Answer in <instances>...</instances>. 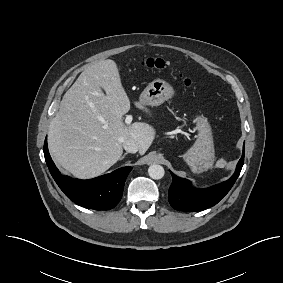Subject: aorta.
Listing matches in <instances>:
<instances>
[{
	"mask_svg": "<svg viewBox=\"0 0 283 283\" xmlns=\"http://www.w3.org/2000/svg\"><path fill=\"white\" fill-rule=\"evenodd\" d=\"M148 174L152 179L158 180L163 178L165 171L161 165L153 164L148 168Z\"/></svg>",
	"mask_w": 283,
	"mask_h": 283,
	"instance_id": "1",
	"label": "aorta"
}]
</instances>
